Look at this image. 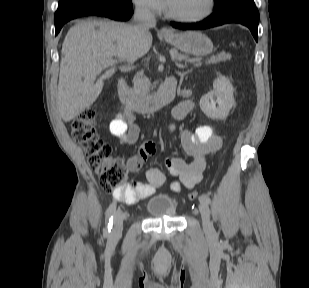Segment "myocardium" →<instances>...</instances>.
Returning <instances> with one entry per match:
<instances>
[{
  "instance_id": "obj_1",
  "label": "myocardium",
  "mask_w": 309,
  "mask_h": 288,
  "mask_svg": "<svg viewBox=\"0 0 309 288\" xmlns=\"http://www.w3.org/2000/svg\"><path fill=\"white\" fill-rule=\"evenodd\" d=\"M214 8H215V0H208V7H207V9L204 13H202L201 15L195 16V17H186V16H182V15H178V14L174 13L170 9L168 2H166V4H165L166 14L170 18H172L176 21L184 22V23L201 22V21L207 19L208 17H210L212 15Z\"/></svg>"
}]
</instances>
